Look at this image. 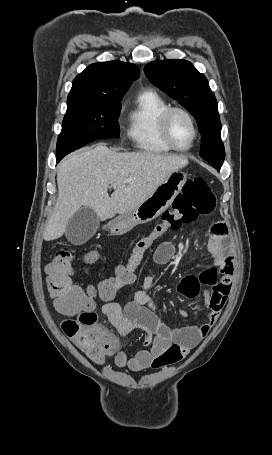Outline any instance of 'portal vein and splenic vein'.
Masks as SVG:
<instances>
[{"instance_id": "18ae733b", "label": "portal vein and splenic vein", "mask_w": 272, "mask_h": 455, "mask_svg": "<svg viewBox=\"0 0 272 455\" xmlns=\"http://www.w3.org/2000/svg\"><path fill=\"white\" fill-rule=\"evenodd\" d=\"M131 181H132V179H127V180H125L123 183H129V182H131Z\"/></svg>"}]
</instances>
